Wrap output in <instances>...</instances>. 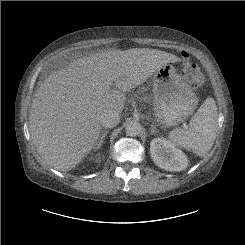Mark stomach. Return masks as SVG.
<instances>
[{
	"label": "stomach",
	"mask_w": 245,
	"mask_h": 245,
	"mask_svg": "<svg viewBox=\"0 0 245 245\" xmlns=\"http://www.w3.org/2000/svg\"><path fill=\"white\" fill-rule=\"evenodd\" d=\"M154 116L165 127L176 126L195 111L198 97L174 66L166 64L153 75Z\"/></svg>",
	"instance_id": "1"
}]
</instances>
